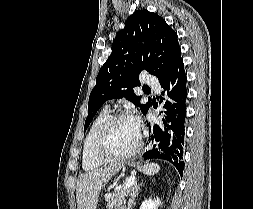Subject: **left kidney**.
<instances>
[{
	"mask_svg": "<svg viewBox=\"0 0 253 209\" xmlns=\"http://www.w3.org/2000/svg\"><path fill=\"white\" fill-rule=\"evenodd\" d=\"M162 202L159 198L152 200L149 198L148 200H144L140 206V209H158L161 206Z\"/></svg>",
	"mask_w": 253,
	"mask_h": 209,
	"instance_id": "obj_1",
	"label": "left kidney"
}]
</instances>
